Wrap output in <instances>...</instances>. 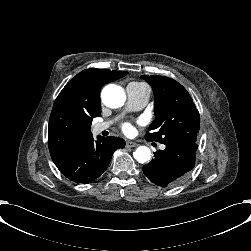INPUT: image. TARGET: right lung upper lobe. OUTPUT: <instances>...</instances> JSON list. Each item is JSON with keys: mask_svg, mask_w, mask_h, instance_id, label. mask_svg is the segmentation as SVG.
I'll return each mask as SVG.
<instances>
[{"mask_svg": "<svg viewBox=\"0 0 251 251\" xmlns=\"http://www.w3.org/2000/svg\"><path fill=\"white\" fill-rule=\"evenodd\" d=\"M127 74L91 68L77 74L62 89L54 102L48 127V146L54 162L67 157L92 137V119L101 114L102 86Z\"/></svg>", "mask_w": 251, "mask_h": 251, "instance_id": "obj_1", "label": "right lung upper lobe"}]
</instances>
